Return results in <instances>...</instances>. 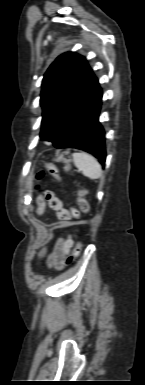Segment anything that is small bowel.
<instances>
[{
	"label": "small bowel",
	"mask_w": 145,
	"mask_h": 385,
	"mask_svg": "<svg viewBox=\"0 0 145 385\" xmlns=\"http://www.w3.org/2000/svg\"><path fill=\"white\" fill-rule=\"evenodd\" d=\"M36 204V212L38 215L44 213L46 204L55 211L58 218V221L55 223L57 228L66 227L73 219L78 218V216L72 214L71 209L69 210L64 206L63 202L52 191H47L43 196H39L36 200ZM72 246L73 240L71 236H68L65 239H58L50 252H48L46 248L40 250L38 258L45 259L49 267L62 269L69 262L67 256Z\"/></svg>",
	"instance_id": "small-bowel-1"
}]
</instances>
